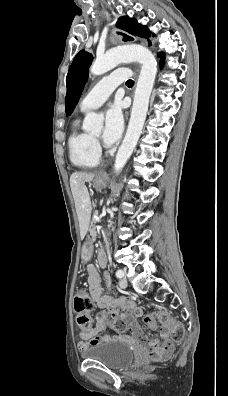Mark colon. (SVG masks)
Listing matches in <instances>:
<instances>
[{"label": "colon", "mask_w": 228, "mask_h": 396, "mask_svg": "<svg viewBox=\"0 0 228 396\" xmlns=\"http://www.w3.org/2000/svg\"><path fill=\"white\" fill-rule=\"evenodd\" d=\"M93 303L89 294L84 290L80 289L74 298V310L77 314V324L81 330H85L90 327V319L88 313L92 310ZM108 320L107 316L103 313L100 314L98 321ZM111 326L117 332H124L127 329V324L123 320H110ZM109 321V322H110ZM145 324L151 328L155 329L157 327V321L169 332L172 341L180 342L185 336V328L183 324L173 318L166 311H157L150 313L144 318Z\"/></svg>", "instance_id": "1"}]
</instances>
